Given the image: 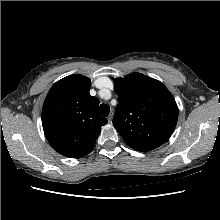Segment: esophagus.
Segmentation results:
<instances>
[{"label": "esophagus", "mask_w": 220, "mask_h": 220, "mask_svg": "<svg viewBox=\"0 0 220 220\" xmlns=\"http://www.w3.org/2000/svg\"><path fill=\"white\" fill-rule=\"evenodd\" d=\"M112 117H113V113L111 112L109 115H108V117H107V119H108V122H111V120H112Z\"/></svg>", "instance_id": "34e87169"}]
</instances>
